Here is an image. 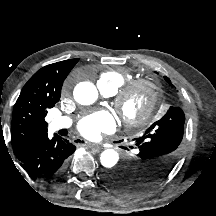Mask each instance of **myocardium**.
Returning <instances> with one entry per match:
<instances>
[{
	"instance_id": "f54148a6",
	"label": "myocardium",
	"mask_w": 216,
	"mask_h": 216,
	"mask_svg": "<svg viewBox=\"0 0 216 216\" xmlns=\"http://www.w3.org/2000/svg\"><path fill=\"white\" fill-rule=\"evenodd\" d=\"M139 90H143L146 93L144 105L138 112L128 113L125 110L126 101L130 95ZM158 96L159 88L153 80L148 78L135 79L129 81L116 92L113 99V105L127 126H141L152 116Z\"/></svg>"
}]
</instances>
